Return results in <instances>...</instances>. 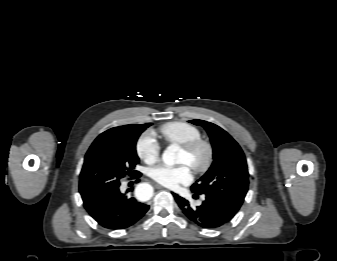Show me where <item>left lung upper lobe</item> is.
I'll return each instance as SVG.
<instances>
[{"label":"left lung upper lobe","instance_id":"1","mask_svg":"<svg viewBox=\"0 0 337 261\" xmlns=\"http://www.w3.org/2000/svg\"><path fill=\"white\" fill-rule=\"evenodd\" d=\"M207 131L213 147V164L196 183L192 192L212 197L234 212L240 209L248 190V169L244 153L238 143L219 126L191 120Z\"/></svg>","mask_w":337,"mask_h":261}]
</instances>
